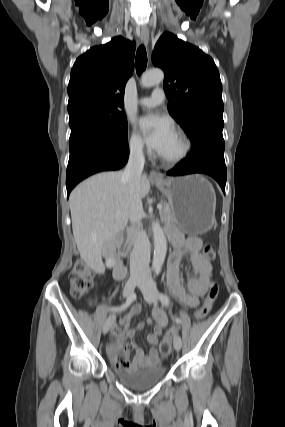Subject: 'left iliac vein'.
Here are the masks:
<instances>
[{
  "mask_svg": "<svg viewBox=\"0 0 285 427\" xmlns=\"http://www.w3.org/2000/svg\"><path fill=\"white\" fill-rule=\"evenodd\" d=\"M138 286L141 289L143 296H144V299L146 300L147 303L154 304L157 302V300L159 298L158 290H157L155 283L153 282V280L149 276H145L141 280V282ZM173 343H174L175 350H177V351L181 350L182 340H181L180 336H176L174 338Z\"/></svg>",
  "mask_w": 285,
  "mask_h": 427,
  "instance_id": "obj_1",
  "label": "left iliac vein"
}]
</instances>
